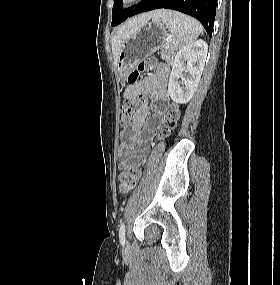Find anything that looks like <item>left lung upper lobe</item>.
Returning <instances> with one entry per match:
<instances>
[{
    "label": "left lung upper lobe",
    "mask_w": 280,
    "mask_h": 285,
    "mask_svg": "<svg viewBox=\"0 0 280 285\" xmlns=\"http://www.w3.org/2000/svg\"><path fill=\"white\" fill-rule=\"evenodd\" d=\"M134 8H128L123 10L122 7V0H114V6H113V19H112V25L116 26L120 24L121 22L125 21L128 17H130L131 12Z\"/></svg>",
    "instance_id": "left-lung-upper-lobe-1"
}]
</instances>
